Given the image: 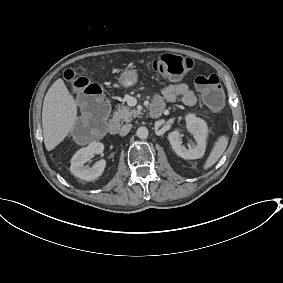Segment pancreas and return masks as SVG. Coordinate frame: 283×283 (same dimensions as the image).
Wrapping results in <instances>:
<instances>
[{"mask_svg": "<svg viewBox=\"0 0 283 283\" xmlns=\"http://www.w3.org/2000/svg\"><path fill=\"white\" fill-rule=\"evenodd\" d=\"M141 114L138 110H132L128 106H119L118 110L113 113L114 121L130 122L133 118H136Z\"/></svg>", "mask_w": 283, "mask_h": 283, "instance_id": "cf45deb5", "label": "pancreas"}]
</instances>
